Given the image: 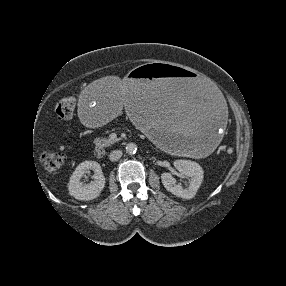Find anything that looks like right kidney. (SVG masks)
<instances>
[{
  "mask_svg": "<svg viewBox=\"0 0 286 286\" xmlns=\"http://www.w3.org/2000/svg\"><path fill=\"white\" fill-rule=\"evenodd\" d=\"M94 171L93 181L84 184L81 178ZM105 186V177L99 163L95 161H84L80 163L70 177L68 183L69 194L77 200H92L98 197Z\"/></svg>",
  "mask_w": 286,
  "mask_h": 286,
  "instance_id": "ca27d5eb",
  "label": "right kidney"
}]
</instances>
